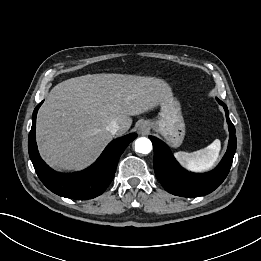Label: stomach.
I'll list each match as a JSON object with an SVG mask.
<instances>
[{
  "mask_svg": "<svg viewBox=\"0 0 261 261\" xmlns=\"http://www.w3.org/2000/svg\"><path fill=\"white\" fill-rule=\"evenodd\" d=\"M156 120L150 121L151 127L159 132L172 147H179L185 137V123L179 102L171 97L162 101Z\"/></svg>",
  "mask_w": 261,
  "mask_h": 261,
  "instance_id": "stomach-1",
  "label": "stomach"
}]
</instances>
